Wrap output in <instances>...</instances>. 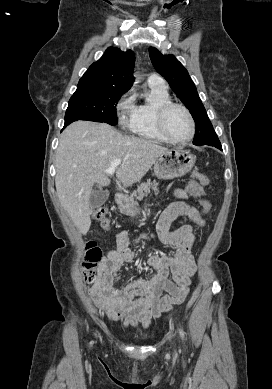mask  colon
I'll use <instances>...</instances> for the list:
<instances>
[{"mask_svg": "<svg viewBox=\"0 0 272 389\" xmlns=\"http://www.w3.org/2000/svg\"><path fill=\"white\" fill-rule=\"evenodd\" d=\"M209 180L206 175L199 171H193L188 189L191 193L201 197V211L206 212L210 208V202L204 197L203 188L206 187ZM107 209L100 207L94 213V218L100 223L102 228H107L109 221L106 217ZM102 258L101 250L92 242L87 244L86 260L83 267V279L87 284H91L95 280L96 269Z\"/></svg>", "mask_w": 272, "mask_h": 389, "instance_id": "5ec220e1", "label": "colon"}]
</instances>
